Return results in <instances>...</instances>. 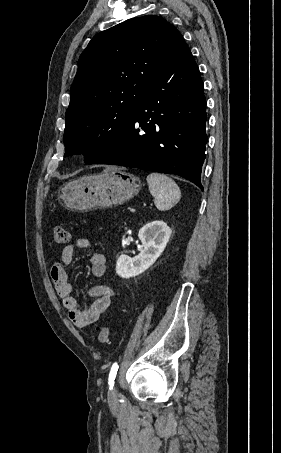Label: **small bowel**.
<instances>
[{"label": "small bowel", "mask_w": 281, "mask_h": 453, "mask_svg": "<svg viewBox=\"0 0 281 453\" xmlns=\"http://www.w3.org/2000/svg\"><path fill=\"white\" fill-rule=\"evenodd\" d=\"M92 238H79L74 245L62 251L61 262L54 263L50 269V277L55 284L56 293L62 300L68 319L76 326H85L99 320L101 314L110 306L115 292L109 287H92L87 293L95 299L85 307H81L72 295V285L66 267L73 262L75 251H88ZM90 275L100 277L106 274L105 257L102 253L93 252L90 257Z\"/></svg>", "instance_id": "small-bowel-1"}]
</instances>
